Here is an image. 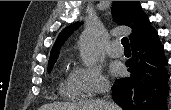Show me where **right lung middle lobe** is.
Listing matches in <instances>:
<instances>
[{"label": "right lung middle lobe", "mask_w": 171, "mask_h": 110, "mask_svg": "<svg viewBox=\"0 0 171 110\" xmlns=\"http://www.w3.org/2000/svg\"><path fill=\"white\" fill-rule=\"evenodd\" d=\"M58 58V56H54L52 58H49V62H48V71L51 70L52 66L54 65L56 59Z\"/></svg>", "instance_id": "1"}]
</instances>
